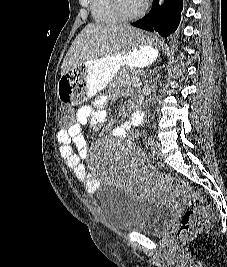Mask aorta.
I'll list each match as a JSON object with an SVG mask.
<instances>
[{
    "label": "aorta",
    "instance_id": "aorta-1",
    "mask_svg": "<svg viewBox=\"0 0 227 267\" xmlns=\"http://www.w3.org/2000/svg\"><path fill=\"white\" fill-rule=\"evenodd\" d=\"M164 3V0H159V5H162Z\"/></svg>",
    "mask_w": 227,
    "mask_h": 267
}]
</instances>
